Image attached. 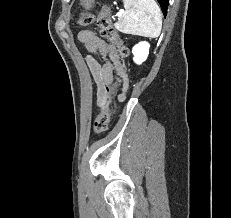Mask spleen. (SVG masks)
I'll return each instance as SVG.
<instances>
[{
  "instance_id": "obj_1",
  "label": "spleen",
  "mask_w": 231,
  "mask_h": 218,
  "mask_svg": "<svg viewBox=\"0 0 231 218\" xmlns=\"http://www.w3.org/2000/svg\"><path fill=\"white\" fill-rule=\"evenodd\" d=\"M125 11L115 27L126 34L156 38L162 29V13L155 0H123Z\"/></svg>"
}]
</instances>
